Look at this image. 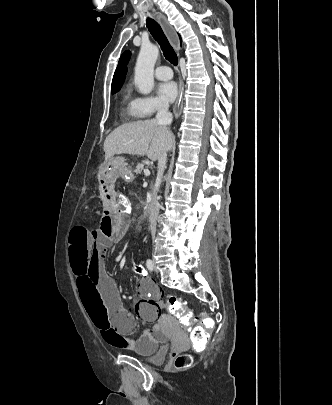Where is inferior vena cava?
Here are the masks:
<instances>
[{"label": "inferior vena cava", "mask_w": 332, "mask_h": 405, "mask_svg": "<svg viewBox=\"0 0 332 405\" xmlns=\"http://www.w3.org/2000/svg\"><path fill=\"white\" fill-rule=\"evenodd\" d=\"M156 120L159 125H162L167 129H168V126L172 123L173 116H172V113L169 112V104L167 101H162L158 104ZM166 161H167V152L165 151L158 158L157 178H156L155 186L153 188L151 206L149 208V221L151 224V229H154V227L156 226V221H157V217L159 214V202H158L157 192L159 190V186L161 184V180H162V177L164 174V170L166 167Z\"/></svg>", "instance_id": "obj_1"}]
</instances>
